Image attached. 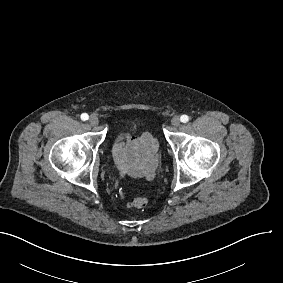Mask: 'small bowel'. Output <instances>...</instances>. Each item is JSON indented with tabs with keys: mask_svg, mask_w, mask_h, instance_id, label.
Wrapping results in <instances>:
<instances>
[{
	"mask_svg": "<svg viewBox=\"0 0 283 283\" xmlns=\"http://www.w3.org/2000/svg\"><path fill=\"white\" fill-rule=\"evenodd\" d=\"M128 138V145L130 148H134L138 146L140 143L143 141H153V138L150 134H143L141 137H128L125 134H121L118 136V140ZM113 156H114V161L116 164L117 169L121 174H126L127 171L129 170V163L125 157V155L122 153L121 149L119 148L118 145L114 147L113 150Z\"/></svg>",
	"mask_w": 283,
	"mask_h": 283,
	"instance_id": "1",
	"label": "small bowel"
}]
</instances>
